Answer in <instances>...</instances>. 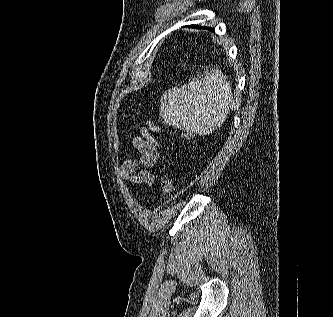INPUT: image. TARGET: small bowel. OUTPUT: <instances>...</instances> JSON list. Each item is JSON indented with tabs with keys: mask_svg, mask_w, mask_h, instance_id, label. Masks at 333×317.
<instances>
[{
	"mask_svg": "<svg viewBox=\"0 0 333 317\" xmlns=\"http://www.w3.org/2000/svg\"><path fill=\"white\" fill-rule=\"evenodd\" d=\"M159 131V127L150 121H146L140 128V135L133 139V145L139 152V157L126 160L121 168L126 180L136 184L152 185L154 183L150 168L159 159V149L151 133Z\"/></svg>",
	"mask_w": 333,
	"mask_h": 317,
	"instance_id": "small-bowel-1",
	"label": "small bowel"
}]
</instances>
